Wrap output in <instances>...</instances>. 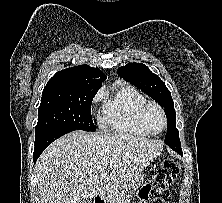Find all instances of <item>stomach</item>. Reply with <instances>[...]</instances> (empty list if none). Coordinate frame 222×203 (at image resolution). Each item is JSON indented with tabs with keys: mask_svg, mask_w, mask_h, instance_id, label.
Instances as JSON below:
<instances>
[{
	"mask_svg": "<svg viewBox=\"0 0 222 203\" xmlns=\"http://www.w3.org/2000/svg\"><path fill=\"white\" fill-rule=\"evenodd\" d=\"M144 181V176L139 174L135 179L128 181L122 188L119 189L120 194L117 197H107L109 203H118L117 200H125L132 196L137 188L141 186ZM120 203V202H119Z\"/></svg>",
	"mask_w": 222,
	"mask_h": 203,
	"instance_id": "obj_1",
	"label": "stomach"
}]
</instances>
